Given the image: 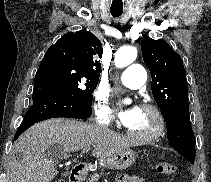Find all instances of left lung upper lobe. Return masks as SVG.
I'll use <instances>...</instances> for the list:
<instances>
[{
    "mask_svg": "<svg viewBox=\"0 0 211 182\" xmlns=\"http://www.w3.org/2000/svg\"><path fill=\"white\" fill-rule=\"evenodd\" d=\"M144 63L151 72L152 93L166 122L171 147L194 163L195 137L190 124L188 87L181 57L163 40L144 36Z\"/></svg>",
    "mask_w": 211,
    "mask_h": 182,
    "instance_id": "5c2ea615",
    "label": "left lung upper lobe"
}]
</instances>
